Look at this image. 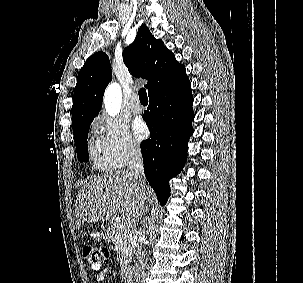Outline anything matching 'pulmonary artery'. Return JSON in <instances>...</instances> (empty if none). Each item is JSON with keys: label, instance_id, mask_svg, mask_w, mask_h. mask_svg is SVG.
Wrapping results in <instances>:
<instances>
[{"label": "pulmonary artery", "instance_id": "pulmonary-artery-1", "mask_svg": "<svg viewBox=\"0 0 303 283\" xmlns=\"http://www.w3.org/2000/svg\"><path fill=\"white\" fill-rule=\"evenodd\" d=\"M143 110V106L138 98V96L135 97L133 103H132V111L134 113H140Z\"/></svg>", "mask_w": 303, "mask_h": 283}]
</instances>
